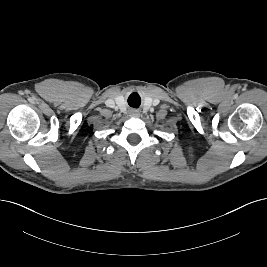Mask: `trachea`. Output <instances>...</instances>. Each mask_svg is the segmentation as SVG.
<instances>
[{
	"label": "trachea",
	"instance_id": "1",
	"mask_svg": "<svg viewBox=\"0 0 267 267\" xmlns=\"http://www.w3.org/2000/svg\"><path fill=\"white\" fill-rule=\"evenodd\" d=\"M133 98H135L133 102H134L135 104H137L136 107H138V106L140 105L141 100H140V97H139L137 94H135V93L132 94V95H130V97H129V99H128V103H129V105L132 106V105H131V100H132Z\"/></svg>",
	"mask_w": 267,
	"mask_h": 267
}]
</instances>
